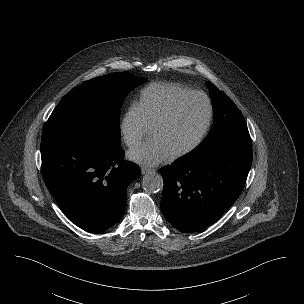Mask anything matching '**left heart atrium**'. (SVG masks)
Wrapping results in <instances>:
<instances>
[{
	"mask_svg": "<svg viewBox=\"0 0 304 304\" xmlns=\"http://www.w3.org/2000/svg\"><path fill=\"white\" fill-rule=\"evenodd\" d=\"M171 156L172 154L167 147L156 138L143 143L128 153L130 160L145 166H155Z\"/></svg>",
	"mask_w": 304,
	"mask_h": 304,
	"instance_id": "39dd6f15",
	"label": "left heart atrium"
}]
</instances>
